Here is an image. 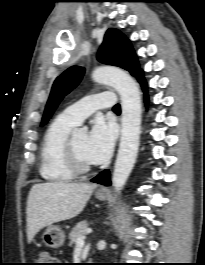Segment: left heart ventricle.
Returning a JSON list of instances; mask_svg holds the SVG:
<instances>
[{"label": "left heart ventricle", "mask_w": 205, "mask_h": 265, "mask_svg": "<svg viewBox=\"0 0 205 265\" xmlns=\"http://www.w3.org/2000/svg\"><path fill=\"white\" fill-rule=\"evenodd\" d=\"M87 134H77L74 136V145L76 152L80 158V160L84 163L91 164L87 155H86V145H87Z\"/></svg>", "instance_id": "left-heart-ventricle-1"}]
</instances>
